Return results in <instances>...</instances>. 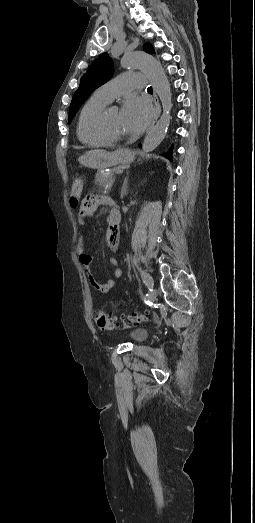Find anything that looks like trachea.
<instances>
[{
    "label": "trachea",
    "mask_w": 255,
    "mask_h": 523,
    "mask_svg": "<svg viewBox=\"0 0 255 523\" xmlns=\"http://www.w3.org/2000/svg\"><path fill=\"white\" fill-rule=\"evenodd\" d=\"M147 92H151V93H153V88H152V87H148V88H147Z\"/></svg>",
    "instance_id": "trachea-1"
}]
</instances>
